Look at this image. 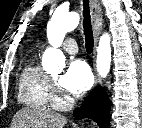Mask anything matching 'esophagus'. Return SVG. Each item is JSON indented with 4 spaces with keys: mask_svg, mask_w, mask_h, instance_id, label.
<instances>
[{
    "mask_svg": "<svg viewBox=\"0 0 142 128\" xmlns=\"http://www.w3.org/2000/svg\"><path fill=\"white\" fill-rule=\"evenodd\" d=\"M90 12H91V22H92L93 36H94L93 57L95 60L98 39L100 35V26L102 22V12L98 0H90ZM94 77H95L94 87H96L101 83V79L96 72L95 65H94Z\"/></svg>",
    "mask_w": 142,
    "mask_h": 128,
    "instance_id": "34e87169",
    "label": "esophagus"
}]
</instances>
